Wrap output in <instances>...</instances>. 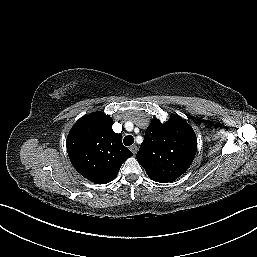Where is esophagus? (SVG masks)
Wrapping results in <instances>:
<instances>
[{"instance_id":"obj_1","label":"esophagus","mask_w":257,"mask_h":257,"mask_svg":"<svg viewBox=\"0 0 257 257\" xmlns=\"http://www.w3.org/2000/svg\"><path fill=\"white\" fill-rule=\"evenodd\" d=\"M130 150H131V152L135 155V154L137 153V151H138V147H137L136 145H132V146L130 147Z\"/></svg>"}]
</instances>
